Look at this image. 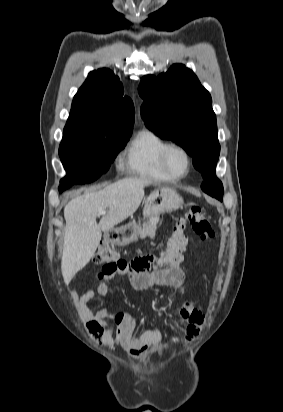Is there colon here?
<instances>
[{"label":"colon","mask_w":283,"mask_h":412,"mask_svg":"<svg viewBox=\"0 0 283 412\" xmlns=\"http://www.w3.org/2000/svg\"><path fill=\"white\" fill-rule=\"evenodd\" d=\"M187 223L191 224L195 234L202 240L214 238L215 232L206 212L200 206L194 205L189 207L185 215L179 219L167 241L165 250L159 256H143L130 261L116 260L114 250L109 245H100L94 256V261L97 265L102 266L101 275H116L126 270L150 273L154 269H165L186 245L184 229ZM87 328L92 337L98 338L101 335L102 328L100 325L89 322Z\"/></svg>","instance_id":"obj_1"}]
</instances>
